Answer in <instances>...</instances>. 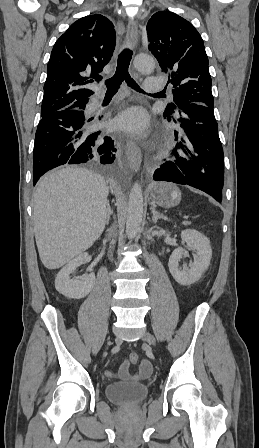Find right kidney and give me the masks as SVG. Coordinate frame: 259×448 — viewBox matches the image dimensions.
I'll list each match as a JSON object with an SVG mask.
<instances>
[{"label": "right kidney", "mask_w": 259, "mask_h": 448, "mask_svg": "<svg viewBox=\"0 0 259 448\" xmlns=\"http://www.w3.org/2000/svg\"><path fill=\"white\" fill-rule=\"evenodd\" d=\"M88 254H80L77 258H74L72 262L66 264L62 270H60L59 274H57V278L55 280V288L57 292L66 296V298H76V300H80V298H85L88 296L89 292H91L94 284H95V274H88V276H84L82 280H70V274L75 272L78 266L84 264L85 260H87Z\"/></svg>", "instance_id": "obj_1"}]
</instances>
